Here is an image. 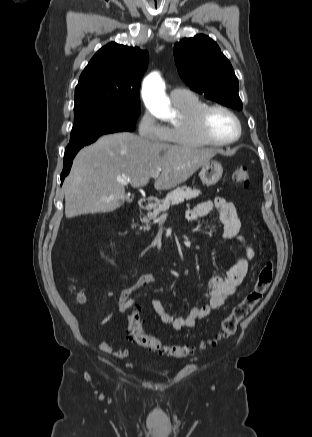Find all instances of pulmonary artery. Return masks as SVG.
Segmentation results:
<instances>
[{
	"instance_id": "pulmonary-artery-1",
	"label": "pulmonary artery",
	"mask_w": 312,
	"mask_h": 437,
	"mask_svg": "<svg viewBox=\"0 0 312 437\" xmlns=\"http://www.w3.org/2000/svg\"><path fill=\"white\" fill-rule=\"evenodd\" d=\"M190 92L182 88H174L170 91V98L173 102L180 101L186 98Z\"/></svg>"
}]
</instances>
